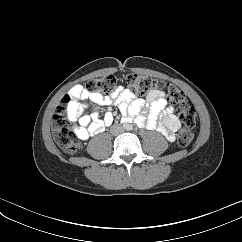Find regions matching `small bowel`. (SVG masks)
I'll return each mask as SVG.
<instances>
[{"mask_svg":"<svg viewBox=\"0 0 242 242\" xmlns=\"http://www.w3.org/2000/svg\"><path fill=\"white\" fill-rule=\"evenodd\" d=\"M69 95L71 100L64 104V109L68 118L75 121V133L81 140H86L103 131L114 119L111 112L105 113L104 117L100 118L97 108L89 113L88 103H92L96 107L114 104L119 108L126 121L134 120L138 125L146 126L149 129L158 127L169 141L174 140L175 132L180 127L173 107L167 105L164 92L161 90L152 91L145 100L136 99L127 90L104 97L95 92H88L81 86H75ZM144 105L147 106V111L139 114ZM159 119L163 121L158 125Z\"/></svg>","mask_w":242,"mask_h":242,"instance_id":"small-bowel-1","label":"small bowel"}]
</instances>
